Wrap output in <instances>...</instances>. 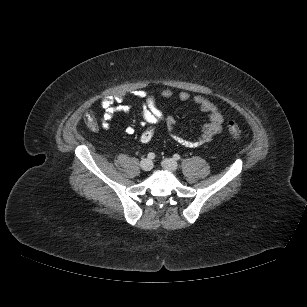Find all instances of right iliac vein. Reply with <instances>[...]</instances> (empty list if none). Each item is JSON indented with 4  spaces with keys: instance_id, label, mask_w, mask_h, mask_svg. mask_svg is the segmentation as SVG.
Listing matches in <instances>:
<instances>
[{
    "instance_id": "1",
    "label": "right iliac vein",
    "mask_w": 307,
    "mask_h": 307,
    "mask_svg": "<svg viewBox=\"0 0 307 307\" xmlns=\"http://www.w3.org/2000/svg\"><path fill=\"white\" fill-rule=\"evenodd\" d=\"M140 167L142 170L144 171H150L153 167V163L151 160L149 159H143L141 162H140Z\"/></svg>"
}]
</instances>
